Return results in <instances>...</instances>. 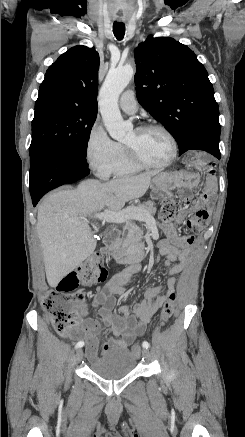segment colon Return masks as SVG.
<instances>
[{"mask_svg": "<svg viewBox=\"0 0 245 437\" xmlns=\"http://www.w3.org/2000/svg\"><path fill=\"white\" fill-rule=\"evenodd\" d=\"M178 211V204L171 198L163 201L160 218L164 222L171 221ZM107 278V269L100 255L94 254L84 260L75 270L66 274L54 291L49 292L43 300V306L49 315L54 328L63 335H78L76 327L79 303L84 295L77 291L80 286H93L102 283ZM176 295L170 293L164 304L158 323L160 326L168 322L175 309ZM135 356L141 353L139 342L131 345Z\"/></svg>", "mask_w": 245, "mask_h": 437, "instance_id": "obj_1", "label": "colon"}]
</instances>
